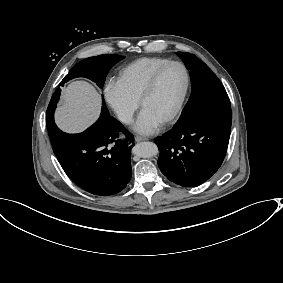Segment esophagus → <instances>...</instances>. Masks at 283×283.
<instances>
[{"mask_svg": "<svg viewBox=\"0 0 283 283\" xmlns=\"http://www.w3.org/2000/svg\"><path fill=\"white\" fill-rule=\"evenodd\" d=\"M146 140H148L147 138H145V137H142V136H135V141L136 142H142V141H146Z\"/></svg>", "mask_w": 283, "mask_h": 283, "instance_id": "esophagus-1", "label": "esophagus"}]
</instances>
